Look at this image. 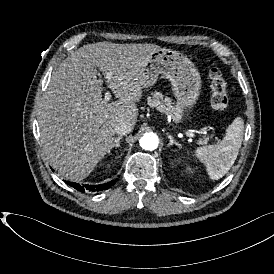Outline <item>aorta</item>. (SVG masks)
<instances>
[{"label":"aorta","instance_id":"762f6f07","mask_svg":"<svg viewBox=\"0 0 274 274\" xmlns=\"http://www.w3.org/2000/svg\"><path fill=\"white\" fill-rule=\"evenodd\" d=\"M140 146L144 150H155L158 147L159 139L153 132L145 133L139 140Z\"/></svg>","mask_w":274,"mask_h":274}]
</instances>
